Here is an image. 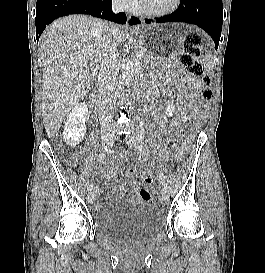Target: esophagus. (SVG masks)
I'll list each match as a JSON object with an SVG mask.
<instances>
[{
	"mask_svg": "<svg viewBox=\"0 0 265 273\" xmlns=\"http://www.w3.org/2000/svg\"><path fill=\"white\" fill-rule=\"evenodd\" d=\"M127 24L131 27H139L142 24V19L137 16L129 15L127 18Z\"/></svg>",
	"mask_w": 265,
	"mask_h": 273,
	"instance_id": "obj_1",
	"label": "esophagus"
}]
</instances>
